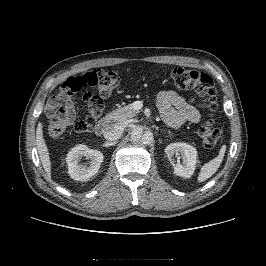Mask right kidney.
Returning a JSON list of instances; mask_svg holds the SVG:
<instances>
[{"label": "right kidney", "mask_w": 266, "mask_h": 266, "mask_svg": "<svg viewBox=\"0 0 266 266\" xmlns=\"http://www.w3.org/2000/svg\"><path fill=\"white\" fill-rule=\"evenodd\" d=\"M82 156L91 160L89 166L79 164ZM103 159L100 151L89 149L86 145H78L67 154L68 173L74 180L87 181L98 172Z\"/></svg>", "instance_id": "right-kidney-1"}]
</instances>
